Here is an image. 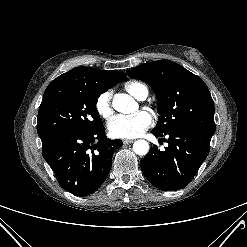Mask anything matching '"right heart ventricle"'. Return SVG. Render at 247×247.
I'll use <instances>...</instances> for the list:
<instances>
[{"instance_id":"obj_1","label":"right heart ventricle","mask_w":247,"mask_h":247,"mask_svg":"<svg viewBox=\"0 0 247 247\" xmlns=\"http://www.w3.org/2000/svg\"><path fill=\"white\" fill-rule=\"evenodd\" d=\"M125 89L128 93L134 96L137 99H141L144 96H147L148 89L147 87L140 82H129L125 85Z\"/></svg>"}]
</instances>
